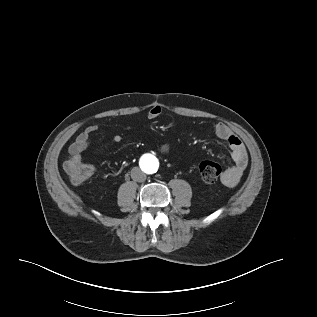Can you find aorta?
<instances>
[{
    "mask_svg": "<svg viewBox=\"0 0 317 317\" xmlns=\"http://www.w3.org/2000/svg\"><path fill=\"white\" fill-rule=\"evenodd\" d=\"M150 162L147 164V171L151 174L155 173L157 170V158L155 156H150Z\"/></svg>",
    "mask_w": 317,
    "mask_h": 317,
    "instance_id": "aorta-1",
    "label": "aorta"
}]
</instances>
